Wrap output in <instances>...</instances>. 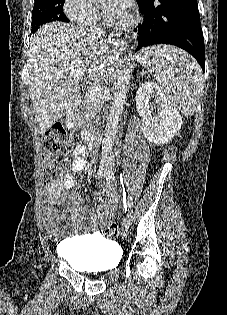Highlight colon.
Returning a JSON list of instances; mask_svg holds the SVG:
<instances>
[{
    "mask_svg": "<svg viewBox=\"0 0 227 315\" xmlns=\"http://www.w3.org/2000/svg\"><path fill=\"white\" fill-rule=\"evenodd\" d=\"M67 139L66 128L62 124L51 126L43 135L41 140L42 163L40 167V180L44 184H49L57 180L60 176V170L65 166V161H60L64 154L65 143ZM100 202L97 213L99 221L104 226L105 236L119 237L122 235L120 227L115 222H110L108 215L110 196L106 191L98 194Z\"/></svg>",
    "mask_w": 227,
    "mask_h": 315,
    "instance_id": "1",
    "label": "colon"
}]
</instances>
